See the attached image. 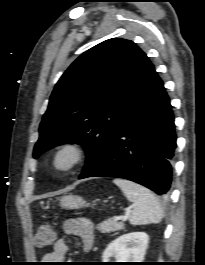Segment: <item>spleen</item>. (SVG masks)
Returning <instances> with one entry per match:
<instances>
[{
  "label": "spleen",
  "instance_id": "spleen-1",
  "mask_svg": "<svg viewBox=\"0 0 205 265\" xmlns=\"http://www.w3.org/2000/svg\"><path fill=\"white\" fill-rule=\"evenodd\" d=\"M113 182L121 188L126 198L134 204V209L129 216L131 225L161 222L164 212L153 192L129 180L117 178Z\"/></svg>",
  "mask_w": 205,
  "mask_h": 265
}]
</instances>
